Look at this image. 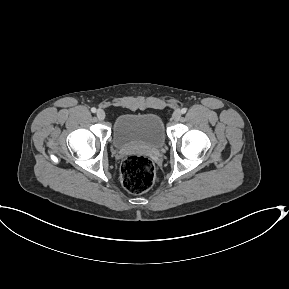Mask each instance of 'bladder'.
Segmentation results:
<instances>
[{"label":"bladder","mask_w":289,"mask_h":289,"mask_svg":"<svg viewBox=\"0 0 289 289\" xmlns=\"http://www.w3.org/2000/svg\"><path fill=\"white\" fill-rule=\"evenodd\" d=\"M165 140L162 119L153 113L122 114L112 130V142L117 148L141 146L156 149L162 147Z\"/></svg>","instance_id":"obj_1"}]
</instances>
